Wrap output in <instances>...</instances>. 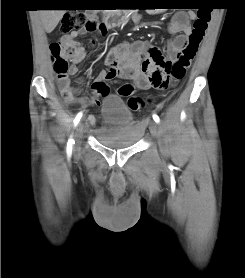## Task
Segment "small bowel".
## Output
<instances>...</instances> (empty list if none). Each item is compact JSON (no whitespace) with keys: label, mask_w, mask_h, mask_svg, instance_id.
<instances>
[{"label":"small bowel","mask_w":245,"mask_h":278,"mask_svg":"<svg viewBox=\"0 0 245 278\" xmlns=\"http://www.w3.org/2000/svg\"><path fill=\"white\" fill-rule=\"evenodd\" d=\"M158 12L159 10H151ZM194 15H188L179 12L168 23V31L172 34H177L174 39L167 43L166 51L171 60L177 59L183 52L185 46L188 44L189 36L192 33V27L189 23V18ZM137 20L140 16H135ZM101 36L107 33V27L100 23L99 27L95 29ZM86 29L78 32H73L61 37L63 43L78 47L83 55L71 61L64 78L58 77L59 89L62 93L72 94L80 91L78 88L71 86L69 76L78 73V64L85 59L86 52L84 48L77 42L76 38L79 35H84ZM99 44V40L94 38L92 45ZM145 54L147 59L142 62L141 57ZM164 59L160 49L152 42L144 41L137 42L133 45L120 44L111 49L106 57V63L109 67L108 71L99 72L95 79L92 88L90 101L97 104L100 98L107 93V82L110 79H130L134 82L135 86L140 90H148L150 88H162V86L151 79L153 71L156 69V62L158 59Z\"/></svg>","instance_id":"small-bowel-1"}]
</instances>
